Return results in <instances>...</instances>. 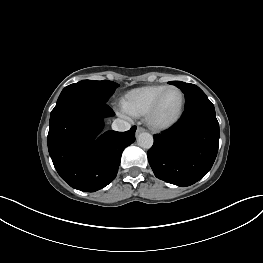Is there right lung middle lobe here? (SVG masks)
Segmentation results:
<instances>
[{
  "instance_id": "dd1d6c3e",
  "label": "right lung middle lobe",
  "mask_w": 263,
  "mask_h": 263,
  "mask_svg": "<svg viewBox=\"0 0 263 263\" xmlns=\"http://www.w3.org/2000/svg\"><path fill=\"white\" fill-rule=\"evenodd\" d=\"M118 86L117 83L108 80H83L65 87L56 105L70 99H88L106 103Z\"/></svg>"
}]
</instances>
